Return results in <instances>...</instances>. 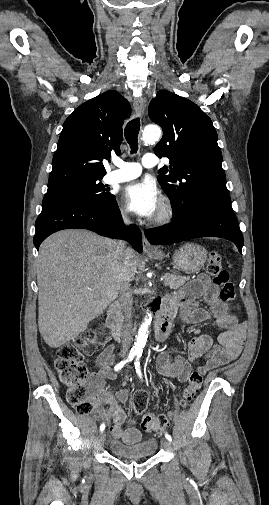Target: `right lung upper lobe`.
<instances>
[{
    "label": "right lung upper lobe",
    "instance_id": "obj_1",
    "mask_svg": "<svg viewBox=\"0 0 269 505\" xmlns=\"http://www.w3.org/2000/svg\"><path fill=\"white\" fill-rule=\"evenodd\" d=\"M130 112L129 102L112 90L76 108L63 124L48 189L103 178L102 160L120 154L122 125Z\"/></svg>",
    "mask_w": 269,
    "mask_h": 505
}]
</instances>
